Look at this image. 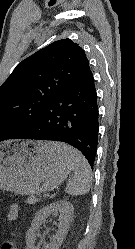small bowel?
<instances>
[{
	"label": "small bowel",
	"instance_id": "small-bowel-1",
	"mask_svg": "<svg viewBox=\"0 0 135 249\" xmlns=\"http://www.w3.org/2000/svg\"><path fill=\"white\" fill-rule=\"evenodd\" d=\"M18 215V208L17 206L13 205L10 207L9 213H8V219L14 220Z\"/></svg>",
	"mask_w": 135,
	"mask_h": 249
}]
</instances>
